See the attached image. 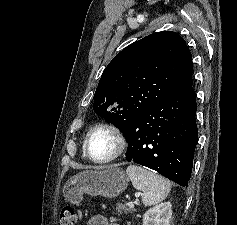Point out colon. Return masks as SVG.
Segmentation results:
<instances>
[{
  "instance_id": "5ec220e1",
  "label": "colon",
  "mask_w": 237,
  "mask_h": 225,
  "mask_svg": "<svg viewBox=\"0 0 237 225\" xmlns=\"http://www.w3.org/2000/svg\"><path fill=\"white\" fill-rule=\"evenodd\" d=\"M77 213L71 206H64L60 212V225H75L77 222Z\"/></svg>"
}]
</instances>
